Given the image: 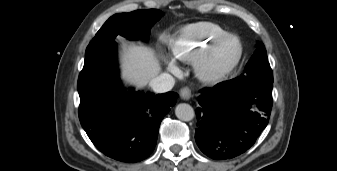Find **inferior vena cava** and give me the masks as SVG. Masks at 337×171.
Listing matches in <instances>:
<instances>
[{
    "label": "inferior vena cava",
    "instance_id": "1",
    "mask_svg": "<svg viewBox=\"0 0 337 171\" xmlns=\"http://www.w3.org/2000/svg\"><path fill=\"white\" fill-rule=\"evenodd\" d=\"M175 84V79L168 73H162L159 76L153 78L149 85L156 93H165L170 91Z\"/></svg>",
    "mask_w": 337,
    "mask_h": 171
}]
</instances>
